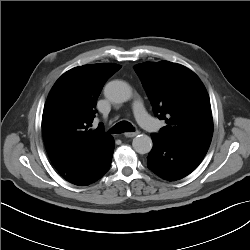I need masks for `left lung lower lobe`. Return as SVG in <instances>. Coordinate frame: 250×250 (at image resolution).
Segmentation results:
<instances>
[{
    "instance_id": "obj_1",
    "label": "left lung lower lobe",
    "mask_w": 250,
    "mask_h": 250,
    "mask_svg": "<svg viewBox=\"0 0 250 250\" xmlns=\"http://www.w3.org/2000/svg\"><path fill=\"white\" fill-rule=\"evenodd\" d=\"M153 148L147 166L159 177L175 181L190 174L202 161L209 146L172 142L159 134H152Z\"/></svg>"
}]
</instances>
